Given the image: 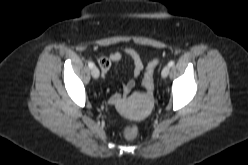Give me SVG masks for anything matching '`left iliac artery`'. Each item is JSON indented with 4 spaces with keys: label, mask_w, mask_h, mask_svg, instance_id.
<instances>
[{
    "label": "left iliac artery",
    "mask_w": 248,
    "mask_h": 165,
    "mask_svg": "<svg viewBox=\"0 0 248 165\" xmlns=\"http://www.w3.org/2000/svg\"><path fill=\"white\" fill-rule=\"evenodd\" d=\"M174 65V61H170L169 63H168V66L169 67H172Z\"/></svg>",
    "instance_id": "left-iliac-artery-1"
}]
</instances>
